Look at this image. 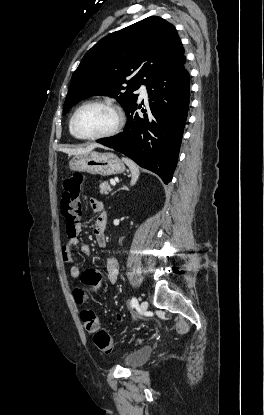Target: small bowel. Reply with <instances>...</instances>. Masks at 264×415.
Wrapping results in <instances>:
<instances>
[{"mask_svg":"<svg viewBox=\"0 0 264 415\" xmlns=\"http://www.w3.org/2000/svg\"><path fill=\"white\" fill-rule=\"evenodd\" d=\"M91 208L92 211L98 214L97 220L94 224V234L97 240V244L99 247L103 248L106 245V238H105V228L107 224V213L104 211L103 204L95 199L91 200ZM81 229V224H78V230ZM78 244V240L76 237H71L68 243L64 244L61 247V258L63 262L66 264H71L70 266V277L72 279H78L81 275V268L77 264H73L74 257H73V246ZM80 250L84 255H90L91 249L87 244H81ZM105 270H106V277L110 284H114L118 278V262L112 256H107L105 258Z\"/></svg>","mask_w":264,"mask_h":415,"instance_id":"1","label":"small bowel"}]
</instances>
